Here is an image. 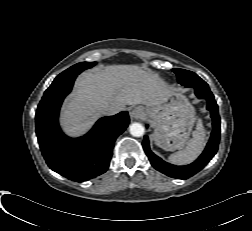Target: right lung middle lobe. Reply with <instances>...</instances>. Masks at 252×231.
I'll list each match as a JSON object with an SVG mask.
<instances>
[{"mask_svg": "<svg viewBox=\"0 0 252 231\" xmlns=\"http://www.w3.org/2000/svg\"><path fill=\"white\" fill-rule=\"evenodd\" d=\"M96 62H81L78 64L73 65L72 67L68 68L61 74H59L53 81V83L68 79L72 76H77L83 70L93 67Z\"/></svg>", "mask_w": 252, "mask_h": 231, "instance_id": "obj_1", "label": "right lung middle lobe"}]
</instances>
